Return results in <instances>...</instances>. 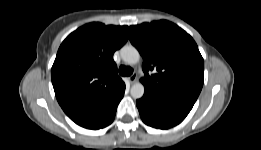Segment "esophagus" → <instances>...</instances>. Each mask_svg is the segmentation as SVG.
<instances>
[{
	"instance_id": "34e87169",
	"label": "esophagus",
	"mask_w": 261,
	"mask_h": 150,
	"mask_svg": "<svg viewBox=\"0 0 261 150\" xmlns=\"http://www.w3.org/2000/svg\"><path fill=\"white\" fill-rule=\"evenodd\" d=\"M137 80V74H132L130 77H129V81L130 83H135V81Z\"/></svg>"
}]
</instances>
